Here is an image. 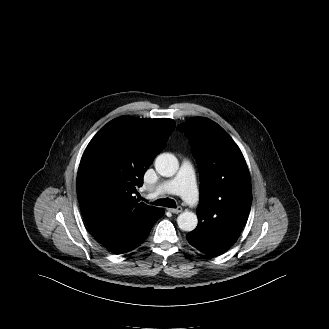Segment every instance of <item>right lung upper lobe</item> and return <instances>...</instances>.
<instances>
[{
	"label": "right lung upper lobe",
	"instance_id": "cb5924a9",
	"mask_svg": "<svg viewBox=\"0 0 329 329\" xmlns=\"http://www.w3.org/2000/svg\"><path fill=\"white\" fill-rule=\"evenodd\" d=\"M174 128L172 119L120 117L93 137L82 156L76 184L91 231L110 220H131L157 209L137 203L133 193Z\"/></svg>",
	"mask_w": 329,
	"mask_h": 329
}]
</instances>
